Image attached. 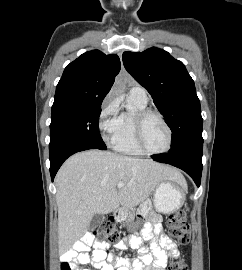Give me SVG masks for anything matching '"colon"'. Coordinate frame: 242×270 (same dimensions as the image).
I'll use <instances>...</instances> for the list:
<instances>
[{"mask_svg":"<svg viewBox=\"0 0 242 270\" xmlns=\"http://www.w3.org/2000/svg\"><path fill=\"white\" fill-rule=\"evenodd\" d=\"M188 208L182 207L169 217L167 228L171 238L180 244L186 245L190 241V228L187 223ZM90 236L99 242H115L119 232L113 218H107L97 230L92 231ZM61 270H70L67 264L61 265ZM169 270H190L183 261L175 260L169 265Z\"/></svg>","mask_w":242,"mask_h":270,"instance_id":"1","label":"colon"}]
</instances>
